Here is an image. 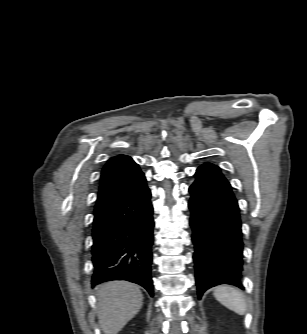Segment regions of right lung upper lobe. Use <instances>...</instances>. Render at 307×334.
<instances>
[{"mask_svg":"<svg viewBox=\"0 0 307 334\" xmlns=\"http://www.w3.org/2000/svg\"><path fill=\"white\" fill-rule=\"evenodd\" d=\"M143 174L139 166L127 155H118L108 160L101 172L97 201L123 189Z\"/></svg>","mask_w":307,"mask_h":334,"instance_id":"1","label":"right lung upper lobe"}]
</instances>
